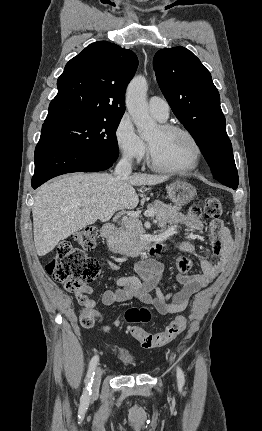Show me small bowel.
<instances>
[{
	"label": "small bowel",
	"mask_w": 262,
	"mask_h": 431,
	"mask_svg": "<svg viewBox=\"0 0 262 431\" xmlns=\"http://www.w3.org/2000/svg\"><path fill=\"white\" fill-rule=\"evenodd\" d=\"M174 223L182 224L194 232L200 231L203 227L197 211L177 214L174 217ZM209 227L212 244L209 255L200 253L189 240H180L177 243V248L181 252L192 255L198 260L201 273L188 274L186 271L190 267L189 261L180 260L177 286L169 292H164L159 287L164 271L162 263L154 258H143L135 266L138 277H119L116 280L118 288L104 292L103 304L112 306L138 301L153 306L162 315L183 311L195 294L209 286L220 275L230 255L232 241L228 228L220 219L210 220ZM159 228L162 236L175 231V227L165 224H161ZM107 264L112 270H118V265L114 261L108 260ZM91 291L90 287L77 291L73 294V299L82 306L81 314L88 312L95 318H101L102 315L95 309L96 301L90 296Z\"/></svg>",
	"instance_id": "c3829d8e"
}]
</instances>
